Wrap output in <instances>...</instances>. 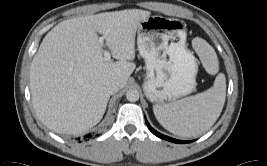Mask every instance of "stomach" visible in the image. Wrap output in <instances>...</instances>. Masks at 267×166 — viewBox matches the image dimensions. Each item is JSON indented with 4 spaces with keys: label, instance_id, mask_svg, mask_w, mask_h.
Wrapping results in <instances>:
<instances>
[{
    "label": "stomach",
    "instance_id": "1",
    "mask_svg": "<svg viewBox=\"0 0 267 166\" xmlns=\"http://www.w3.org/2000/svg\"><path fill=\"white\" fill-rule=\"evenodd\" d=\"M186 38L177 19L149 16L140 23L137 46L146 64L143 90L151 102L165 105L195 89L198 64Z\"/></svg>",
    "mask_w": 267,
    "mask_h": 166
}]
</instances>
